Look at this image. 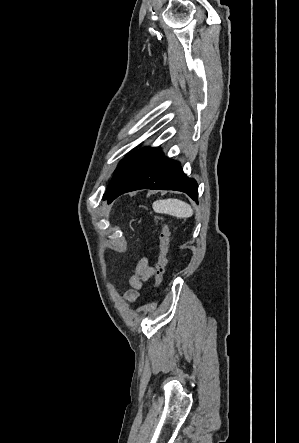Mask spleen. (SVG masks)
<instances>
[{
    "mask_svg": "<svg viewBox=\"0 0 299 443\" xmlns=\"http://www.w3.org/2000/svg\"><path fill=\"white\" fill-rule=\"evenodd\" d=\"M153 210L156 213L168 214L179 218H188L193 215L192 207L179 199L169 198L153 202Z\"/></svg>",
    "mask_w": 299,
    "mask_h": 443,
    "instance_id": "obj_1",
    "label": "spleen"
}]
</instances>
